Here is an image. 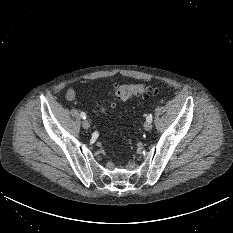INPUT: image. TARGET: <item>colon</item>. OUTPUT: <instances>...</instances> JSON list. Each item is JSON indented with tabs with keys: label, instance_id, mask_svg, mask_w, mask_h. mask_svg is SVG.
Returning <instances> with one entry per match:
<instances>
[{
	"label": "colon",
	"instance_id": "5ec220e1",
	"mask_svg": "<svg viewBox=\"0 0 233 233\" xmlns=\"http://www.w3.org/2000/svg\"><path fill=\"white\" fill-rule=\"evenodd\" d=\"M155 90L146 84H123L117 85L115 87L114 99L116 102H125L133 96L145 97ZM98 110L100 112H105L106 107L104 102H99Z\"/></svg>",
	"mask_w": 233,
	"mask_h": 233
}]
</instances>
